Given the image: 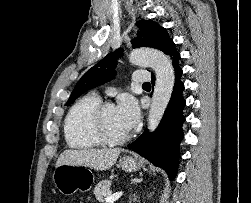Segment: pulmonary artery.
I'll list each match as a JSON object with an SVG mask.
<instances>
[{"instance_id":"1","label":"pulmonary artery","mask_w":251,"mask_h":203,"mask_svg":"<svg viewBox=\"0 0 251 203\" xmlns=\"http://www.w3.org/2000/svg\"><path fill=\"white\" fill-rule=\"evenodd\" d=\"M150 77V74L147 72L135 71L133 74V81L135 83H146L150 80Z\"/></svg>"}]
</instances>
